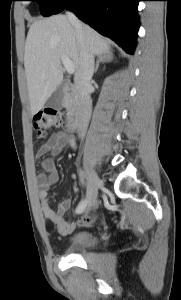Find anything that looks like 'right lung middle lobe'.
I'll list each match as a JSON object with an SVG mask.
<instances>
[{"label": "right lung middle lobe", "instance_id": "right-lung-middle-lobe-1", "mask_svg": "<svg viewBox=\"0 0 181 300\" xmlns=\"http://www.w3.org/2000/svg\"><path fill=\"white\" fill-rule=\"evenodd\" d=\"M36 1L43 16H50L56 14V12L65 5L67 0H30Z\"/></svg>", "mask_w": 181, "mask_h": 300}]
</instances>
